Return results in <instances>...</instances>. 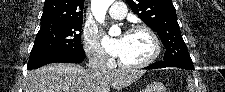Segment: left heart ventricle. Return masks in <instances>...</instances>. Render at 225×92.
Wrapping results in <instances>:
<instances>
[{
    "mask_svg": "<svg viewBox=\"0 0 225 92\" xmlns=\"http://www.w3.org/2000/svg\"><path fill=\"white\" fill-rule=\"evenodd\" d=\"M122 52L119 58L127 63H140L149 58L153 52V43L149 35L144 31L125 33Z\"/></svg>",
    "mask_w": 225,
    "mask_h": 92,
    "instance_id": "1",
    "label": "left heart ventricle"
}]
</instances>
